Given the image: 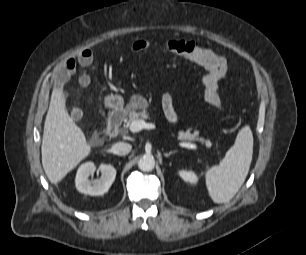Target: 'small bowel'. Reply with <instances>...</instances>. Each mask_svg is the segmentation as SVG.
<instances>
[{"label": "small bowel", "instance_id": "1", "mask_svg": "<svg viewBox=\"0 0 306 255\" xmlns=\"http://www.w3.org/2000/svg\"><path fill=\"white\" fill-rule=\"evenodd\" d=\"M93 56L90 50H83L78 60L82 65H89L92 62ZM76 61L70 58L65 61L62 69L56 74L55 84L58 88H63L67 83L71 74L75 72ZM162 108L168 121L176 123L178 121V115L174 107V100L171 94H165L162 98Z\"/></svg>", "mask_w": 306, "mask_h": 255}]
</instances>
